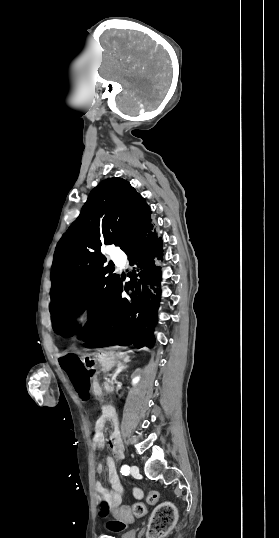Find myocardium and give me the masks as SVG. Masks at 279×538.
Listing matches in <instances>:
<instances>
[{"label": "myocardium", "mask_w": 279, "mask_h": 538, "mask_svg": "<svg viewBox=\"0 0 279 538\" xmlns=\"http://www.w3.org/2000/svg\"><path fill=\"white\" fill-rule=\"evenodd\" d=\"M93 309L91 306H84L78 310L72 318L71 327L73 331H81L88 326L92 319Z\"/></svg>", "instance_id": "1"}]
</instances>
